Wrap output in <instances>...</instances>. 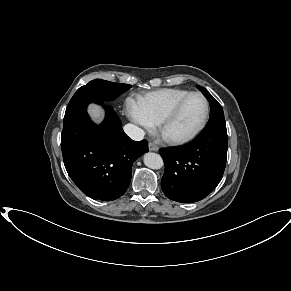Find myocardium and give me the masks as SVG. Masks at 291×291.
Segmentation results:
<instances>
[{
  "mask_svg": "<svg viewBox=\"0 0 291 291\" xmlns=\"http://www.w3.org/2000/svg\"><path fill=\"white\" fill-rule=\"evenodd\" d=\"M193 96H199L203 99L205 104V110L203 117L198 124V126L191 131L190 133L178 136V137H171L166 134V130L168 126L177 118L180 111L182 110L183 106L186 104V102ZM210 113V105L207 100V98L200 92H190L185 97H183L166 115L165 117L159 122V132L163 139L173 145H183L186 143H189L190 141L194 140L205 128Z\"/></svg>",
  "mask_w": 291,
  "mask_h": 291,
  "instance_id": "myocardium-1",
  "label": "myocardium"
}]
</instances>
